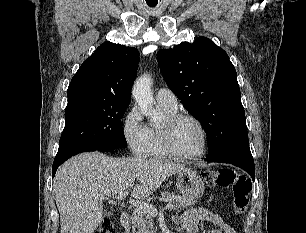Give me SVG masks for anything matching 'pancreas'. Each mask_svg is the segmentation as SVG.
I'll return each instance as SVG.
<instances>
[{"instance_id": "pancreas-1", "label": "pancreas", "mask_w": 306, "mask_h": 233, "mask_svg": "<svg viewBox=\"0 0 306 233\" xmlns=\"http://www.w3.org/2000/svg\"><path fill=\"white\" fill-rule=\"evenodd\" d=\"M161 197L169 203H174L177 209H184L195 204V199L170 192H163ZM131 231L132 233H156L153 215L136 208L132 214Z\"/></svg>"}]
</instances>
